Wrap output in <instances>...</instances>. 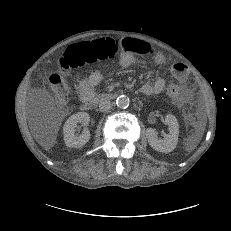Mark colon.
I'll return each mask as SVG.
<instances>
[{
	"instance_id": "obj_1",
	"label": "colon",
	"mask_w": 231,
	"mask_h": 231,
	"mask_svg": "<svg viewBox=\"0 0 231 231\" xmlns=\"http://www.w3.org/2000/svg\"><path fill=\"white\" fill-rule=\"evenodd\" d=\"M120 47V42L112 38L101 39L86 46H75L68 51L64 59L58 62V68L61 72H65L70 68L78 67L87 59H111L118 54ZM49 83L56 97L62 99L67 97L68 85L62 74H51L49 76ZM167 91L171 96H176L179 89L172 83L168 86Z\"/></svg>"
}]
</instances>
